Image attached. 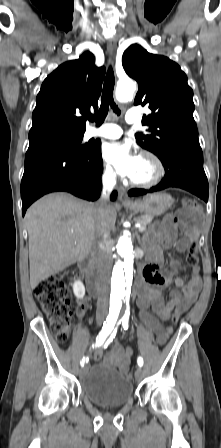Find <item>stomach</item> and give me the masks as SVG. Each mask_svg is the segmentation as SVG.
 Returning <instances> with one entry per match:
<instances>
[{
  "mask_svg": "<svg viewBox=\"0 0 221 448\" xmlns=\"http://www.w3.org/2000/svg\"><path fill=\"white\" fill-rule=\"evenodd\" d=\"M173 204V198L167 193H154L138 199L125 207L135 213H144L148 216H159L165 213Z\"/></svg>",
  "mask_w": 221,
  "mask_h": 448,
  "instance_id": "1",
  "label": "stomach"
}]
</instances>
